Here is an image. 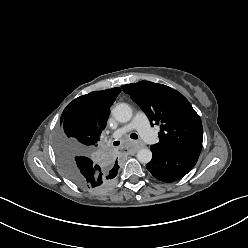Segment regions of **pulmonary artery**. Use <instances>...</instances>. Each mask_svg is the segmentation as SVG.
Instances as JSON below:
<instances>
[{
	"mask_svg": "<svg viewBox=\"0 0 248 248\" xmlns=\"http://www.w3.org/2000/svg\"><path fill=\"white\" fill-rule=\"evenodd\" d=\"M134 129H136L139 132V134L142 136V138L145 141L147 142L151 141V137L153 133L149 126L148 118L146 114L143 112H138L129 124L117 129L114 132L113 137L114 138L121 137L122 135Z\"/></svg>",
	"mask_w": 248,
	"mask_h": 248,
	"instance_id": "1",
	"label": "pulmonary artery"
}]
</instances>
